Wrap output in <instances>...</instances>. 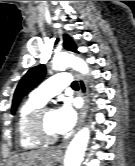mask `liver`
<instances>
[{"mask_svg": "<svg viewBox=\"0 0 135 166\" xmlns=\"http://www.w3.org/2000/svg\"><path fill=\"white\" fill-rule=\"evenodd\" d=\"M51 151L46 149H39L22 153L14 156L11 163H16L17 166H31L37 162H41L46 166L51 165L50 161Z\"/></svg>", "mask_w": 135, "mask_h": 166, "instance_id": "obj_1", "label": "liver"}]
</instances>
